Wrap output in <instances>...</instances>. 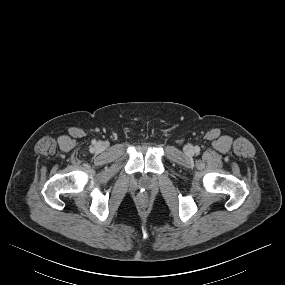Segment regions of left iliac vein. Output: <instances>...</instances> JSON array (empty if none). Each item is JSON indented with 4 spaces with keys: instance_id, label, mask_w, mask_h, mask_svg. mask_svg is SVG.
<instances>
[{
    "instance_id": "4c4485c4",
    "label": "left iliac vein",
    "mask_w": 285,
    "mask_h": 285,
    "mask_svg": "<svg viewBox=\"0 0 285 285\" xmlns=\"http://www.w3.org/2000/svg\"><path fill=\"white\" fill-rule=\"evenodd\" d=\"M184 151L187 155H192L193 154V147L190 146V145H187L185 148H184Z\"/></svg>"
}]
</instances>
